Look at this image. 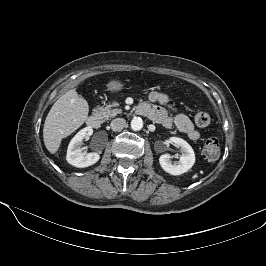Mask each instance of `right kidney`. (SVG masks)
<instances>
[{
	"label": "right kidney",
	"mask_w": 266,
	"mask_h": 266,
	"mask_svg": "<svg viewBox=\"0 0 266 266\" xmlns=\"http://www.w3.org/2000/svg\"><path fill=\"white\" fill-rule=\"evenodd\" d=\"M92 134L93 129L91 127H85L72 138L68 145L66 156L69 164L78 168H84L95 164L100 159L98 153L85 154L81 148L83 139L90 137Z\"/></svg>",
	"instance_id": "ca27d5eb"
}]
</instances>
